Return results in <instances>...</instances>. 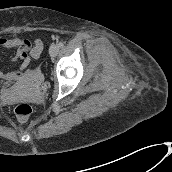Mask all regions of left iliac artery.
Instances as JSON below:
<instances>
[{
    "instance_id": "obj_1",
    "label": "left iliac artery",
    "mask_w": 172,
    "mask_h": 172,
    "mask_svg": "<svg viewBox=\"0 0 172 172\" xmlns=\"http://www.w3.org/2000/svg\"><path fill=\"white\" fill-rule=\"evenodd\" d=\"M64 46V43L63 42H59L58 43V47L62 48Z\"/></svg>"
}]
</instances>
